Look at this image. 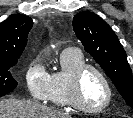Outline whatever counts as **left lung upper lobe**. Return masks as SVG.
Masks as SVG:
<instances>
[{
	"label": "left lung upper lobe",
	"instance_id": "5c2ea615",
	"mask_svg": "<svg viewBox=\"0 0 133 118\" xmlns=\"http://www.w3.org/2000/svg\"><path fill=\"white\" fill-rule=\"evenodd\" d=\"M73 28L86 52L100 64L126 103L133 108V77L126 52L111 27L89 11L77 13Z\"/></svg>",
	"mask_w": 133,
	"mask_h": 118
}]
</instances>
